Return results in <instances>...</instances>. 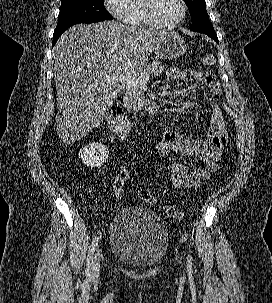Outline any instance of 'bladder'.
Masks as SVG:
<instances>
[{
	"label": "bladder",
	"instance_id": "1",
	"mask_svg": "<svg viewBox=\"0 0 272 303\" xmlns=\"http://www.w3.org/2000/svg\"><path fill=\"white\" fill-rule=\"evenodd\" d=\"M110 251L117 260L137 268L162 262L169 246L168 229L154 210L142 206L120 209L110 227Z\"/></svg>",
	"mask_w": 272,
	"mask_h": 303
}]
</instances>
